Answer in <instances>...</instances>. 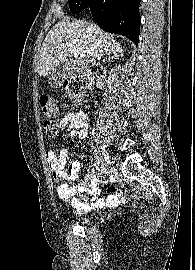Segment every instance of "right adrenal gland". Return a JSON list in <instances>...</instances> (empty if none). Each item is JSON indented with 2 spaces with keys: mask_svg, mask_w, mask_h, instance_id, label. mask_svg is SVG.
Masks as SVG:
<instances>
[{
  "mask_svg": "<svg viewBox=\"0 0 195 270\" xmlns=\"http://www.w3.org/2000/svg\"><path fill=\"white\" fill-rule=\"evenodd\" d=\"M107 59L108 61H110V58H104L103 62L107 61Z\"/></svg>",
  "mask_w": 195,
  "mask_h": 270,
  "instance_id": "2a0ac1e0",
  "label": "right adrenal gland"
}]
</instances>
